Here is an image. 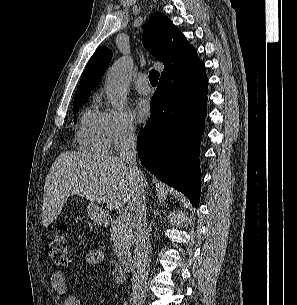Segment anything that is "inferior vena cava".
I'll list each match as a JSON object with an SVG mask.
<instances>
[{"label": "inferior vena cava", "mask_w": 297, "mask_h": 305, "mask_svg": "<svg viewBox=\"0 0 297 305\" xmlns=\"http://www.w3.org/2000/svg\"><path fill=\"white\" fill-rule=\"evenodd\" d=\"M120 158L129 164V170L136 178L139 187L131 203L134 211L133 227L136 238L132 274V302L141 305L145 299L147 277L151 262V244L146 219V197L144 176L137 167L136 137L132 128H124L120 137Z\"/></svg>", "instance_id": "inferior-vena-cava-1"}]
</instances>
